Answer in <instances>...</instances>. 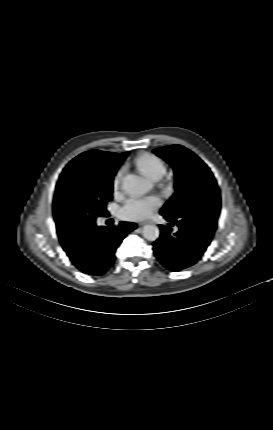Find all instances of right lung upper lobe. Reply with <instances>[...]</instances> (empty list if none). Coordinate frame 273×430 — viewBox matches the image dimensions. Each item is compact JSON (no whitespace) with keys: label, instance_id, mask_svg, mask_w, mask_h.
Wrapping results in <instances>:
<instances>
[{"label":"right lung upper lobe","instance_id":"cb5924a9","mask_svg":"<svg viewBox=\"0 0 273 430\" xmlns=\"http://www.w3.org/2000/svg\"><path fill=\"white\" fill-rule=\"evenodd\" d=\"M124 154L92 150L80 154L73 160L93 168L117 170L125 158Z\"/></svg>","mask_w":273,"mask_h":430}]
</instances>
